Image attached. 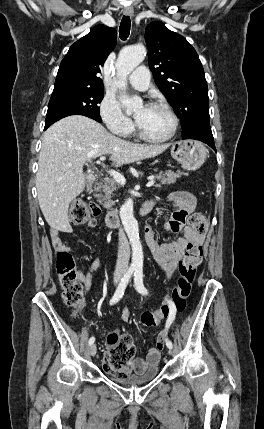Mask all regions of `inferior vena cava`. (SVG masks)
Returning <instances> with one entry per match:
<instances>
[{
    "label": "inferior vena cava",
    "mask_w": 264,
    "mask_h": 429,
    "mask_svg": "<svg viewBox=\"0 0 264 429\" xmlns=\"http://www.w3.org/2000/svg\"><path fill=\"white\" fill-rule=\"evenodd\" d=\"M120 227L119 231V235H120V241L118 242L119 244H117L115 247L117 249H119L116 253L118 255V259H117V263H116V269L119 271H126L128 269V263H129V255L132 254L131 251V246H128L129 241L126 240V238L124 237V229L121 228L123 225L120 223L118 225Z\"/></svg>",
    "instance_id": "602c4592"
}]
</instances>
